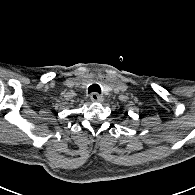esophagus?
<instances>
[{
  "mask_svg": "<svg viewBox=\"0 0 195 195\" xmlns=\"http://www.w3.org/2000/svg\"><path fill=\"white\" fill-rule=\"evenodd\" d=\"M90 99L92 102H102L103 101V97L95 92L91 94Z\"/></svg>",
  "mask_w": 195,
  "mask_h": 195,
  "instance_id": "34e87169",
  "label": "esophagus"
}]
</instances>
